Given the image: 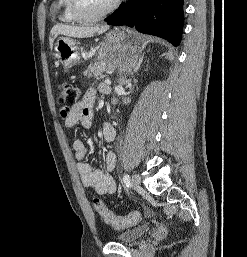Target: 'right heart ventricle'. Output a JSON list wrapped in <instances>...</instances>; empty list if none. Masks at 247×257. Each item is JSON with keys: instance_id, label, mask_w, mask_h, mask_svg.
Here are the masks:
<instances>
[{"instance_id": "1", "label": "right heart ventricle", "mask_w": 247, "mask_h": 257, "mask_svg": "<svg viewBox=\"0 0 247 257\" xmlns=\"http://www.w3.org/2000/svg\"><path fill=\"white\" fill-rule=\"evenodd\" d=\"M61 4V20L64 22H76L78 21L71 9V0H59Z\"/></svg>"}]
</instances>
